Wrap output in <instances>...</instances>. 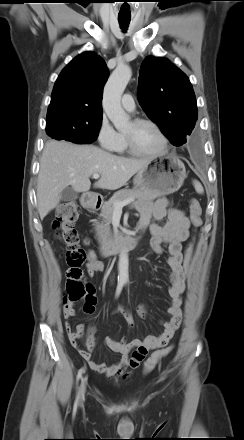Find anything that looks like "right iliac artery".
<instances>
[{
    "mask_svg": "<svg viewBox=\"0 0 244 440\" xmlns=\"http://www.w3.org/2000/svg\"><path fill=\"white\" fill-rule=\"evenodd\" d=\"M122 288H123V283H122V282H119V283L117 284V288H116V297L119 296V294H120L121 291H122ZM83 372H84V368H81V369L79 370L78 374H77V382H79V380L82 378V374H83ZM78 401H79V395L77 394V396H76V400H75V403H74V409H73L74 412L77 410Z\"/></svg>",
    "mask_w": 244,
    "mask_h": 440,
    "instance_id": "82829eb1",
    "label": "right iliac artery"
}]
</instances>
